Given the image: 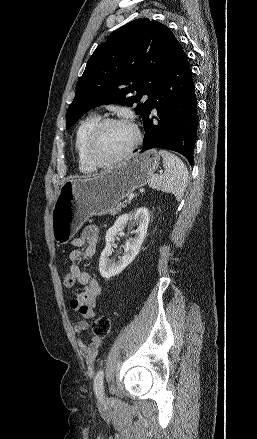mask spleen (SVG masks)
<instances>
[{
	"label": "spleen",
	"instance_id": "obj_1",
	"mask_svg": "<svg viewBox=\"0 0 257 439\" xmlns=\"http://www.w3.org/2000/svg\"><path fill=\"white\" fill-rule=\"evenodd\" d=\"M164 173L155 174L149 180L153 189L173 194L177 201L183 198L188 182V171L184 163L173 153L160 150Z\"/></svg>",
	"mask_w": 257,
	"mask_h": 439
}]
</instances>
